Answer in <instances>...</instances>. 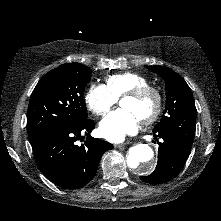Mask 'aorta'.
<instances>
[{
	"label": "aorta",
	"mask_w": 221,
	"mask_h": 221,
	"mask_svg": "<svg viewBox=\"0 0 221 221\" xmlns=\"http://www.w3.org/2000/svg\"><path fill=\"white\" fill-rule=\"evenodd\" d=\"M127 164L129 169L137 175L152 173L156 167L152 148L147 144L132 146L127 155Z\"/></svg>",
	"instance_id": "762f6f07"
}]
</instances>
